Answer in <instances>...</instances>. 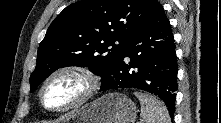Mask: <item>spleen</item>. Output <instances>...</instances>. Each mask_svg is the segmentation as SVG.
<instances>
[{"label":"spleen","instance_id":"1","mask_svg":"<svg viewBox=\"0 0 221 123\" xmlns=\"http://www.w3.org/2000/svg\"><path fill=\"white\" fill-rule=\"evenodd\" d=\"M141 105V117L144 123H171L166 106L157 98L135 92Z\"/></svg>","mask_w":221,"mask_h":123}]
</instances>
